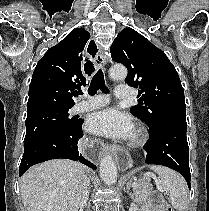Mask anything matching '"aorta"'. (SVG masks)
Listing matches in <instances>:
<instances>
[{"mask_svg": "<svg viewBox=\"0 0 209 211\" xmlns=\"http://www.w3.org/2000/svg\"><path fill=\"white\" fill-rule=\"evenodd\" d=\"M110 78L114 81L124 80L127 76V69L123 65H114L109 71ZM100 175L107 186H111L117 181V168L112 156L105 155L100 163Z\"/></svg>", "mask_w": 209, "mask_h": 211, "instance_id": "1", "label": "aorta"}]
</instances>
